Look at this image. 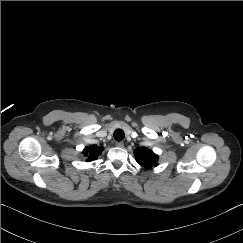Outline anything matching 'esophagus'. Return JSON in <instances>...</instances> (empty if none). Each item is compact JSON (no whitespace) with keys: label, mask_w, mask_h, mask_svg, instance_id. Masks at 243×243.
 <instances>
[{"label":"esophagus","mask_w":243,"mask_h":243,"mask_svg":"<svg viewBox=\"0 0 243 243\" xmlns=\"http://www.w3.org/2000/svg\"><path fill=\"white\" fill-rule=\"evenodd\" d=\"M115 146L119 147V148H123L124 147V143L121 142V141H117V142H115Z\"/></svg>","instance_id":"esophagus-1"}]
</instances>
